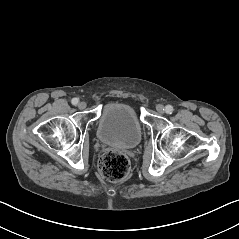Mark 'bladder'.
Segmentation results:
<instances>
[{
  "label": "bladder",
  "instance_id": "1",
  "mask_svg": "<svg viewBox=\"0 0 239 239\" xmlns=\"http://www.w3.org/2000/svg\"><path fill=\"white\" fill-rule=\"evenodd\" d=\"M97 138L105 145L132 149L142 139V129L135 109L122 102L106 104L100 114Z\"/></svg>",
  "mask_w": 239,
  "mask_h": 239
}]
</instances>
